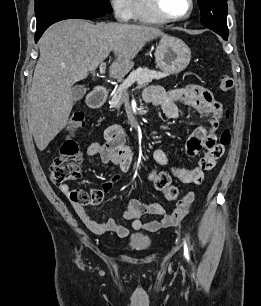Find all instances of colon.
Returning <instances> with one entry per match:
<instances>
[{
	"mask_svg": "<svg viewBox=\"0 0 261 306\" xmlns=\"http://www.w3.org/2000/svg\"><path fill=\"white\" fill-rule=\"evenodd\" d=\"M219 87L223 91H229L234 87V80L230 75H223L219 78ZM85 125V116L82 112L72 115L69 122V129L75 130ZM231 133L224 130L220 136V144L226 147L230 144ZM81 152L77 142L71 138L66 139L60 148L57 156L50 167V179L62 190L69 191V198L72 202L80 205H97L102 201L100 189H93L89 192L83 190H70L67 182L76 180L81 175ZM149 179L154 187L165 194L169 200L176 199L177 189L170 184V176L165 172L151 171Z\"/></svg>",
	"mask_w": 261,
	"mask_h": 306,
	"instance_id": "obj_1",
	"label": "colon"
}]
</instances>
